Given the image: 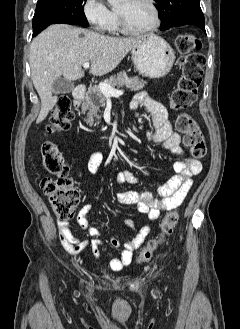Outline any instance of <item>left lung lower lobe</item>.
<instances>
[{
	"label": "left lung lower lobe",
	"mask_w": 240,
	"mask_h": 329,
	"mask_svg": "<svg viewBox=\"0 0 240 329\" xmlns=\"http://www.w3.org/2000/svg\"><path fill=\"white\" fill-rule=\"evenodd\" d=\"M187 24L196 25V26L200 27L205 32V24H203V23L183 22V23L174 24L172 27H177V26H182V25H187Z\"/></svg>",
	"instance_id": "1"
}]
</instances>
